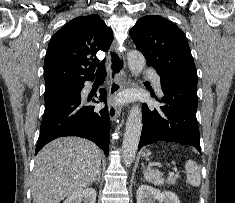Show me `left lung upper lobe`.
<instances>
[{
    "mask_svg": "<svg viewBox=\"0 0 235 203\" xmlns=\"http://www.w3.org/2000/svg\"><path fill=\"white\" fill-rule=\"evenodd\" d=\"M147 65L169 80L197 86V71L187 39L173 22L156 15L140 18L130 30Z\"/></svg>",
    "mask_w": 235,
    "mask_h": 203,
    "instance_id": "1",
    "label": "left lung upper lobe"
}]
</instances>
